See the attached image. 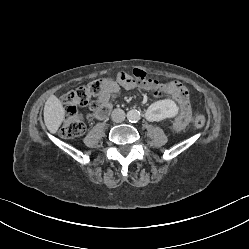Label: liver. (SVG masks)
<instances>
[{
	"label": "liver",
	"instance_id": "obj_1",
	"mask_svg": "<svg viewBox=\"0 0 249 249\" xmlns=\"http://www.w3.org/2000/svg\"><path fill=\"white\" fill-rule=\"evenodd\" d=\"M64 118L65 108L55 95H51L44 106V122L49 132L55 134Z\"/></svg>",
	"mask_w": 249,
	"mask_h": 249
}]
</instances>
